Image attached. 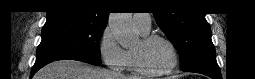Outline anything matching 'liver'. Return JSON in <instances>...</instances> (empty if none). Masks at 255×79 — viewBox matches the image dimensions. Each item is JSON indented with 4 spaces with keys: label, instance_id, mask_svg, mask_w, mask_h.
<instances>
[{
    "label": "liver",
    "instance_id": "1",
    "mask_svg": "<svg viewBox=\"0 0 255 79\" xmlns=\"http://www.w3.org/2000/svg\"><path fill=\"white\" fill-rule=\"evenodd\" d=\"M34 79H136L114 71L94 68L76 60H59L39 70Z\"/></svg>",
    "mask_w": 255,
    "mask_h": 79
}]
</instances>
